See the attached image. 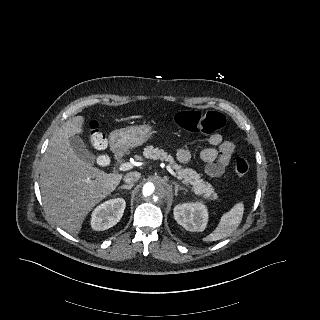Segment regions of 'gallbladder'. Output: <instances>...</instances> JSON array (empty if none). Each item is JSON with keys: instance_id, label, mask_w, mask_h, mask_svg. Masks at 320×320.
<instances>
[{"instance_id": "1", "label": "gallbladder", "mask_w": 320, "mask_h": 320, "mask_svg": "<svg viewBox=\"0 0 320 320\" xmlns=\"http://www.w3.org/2000/svg\"><path fill=\"white\" fill-rule=\"evenodd\" d=\"M68 143L77 157L89 164L95 163L96 156L89 151V149L86 147V145L78 135L71 136L68 139Z\"/></svg>"}]
</instances>
